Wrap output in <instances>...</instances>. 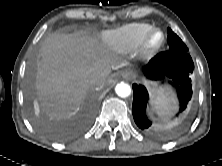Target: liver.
I'll return each instance as SVG.
<instances>
[{
    "mask_svg": "<svg viewBox=\"0 0 222 166\" xmlns=\"http://www.w3.org/2000/svg\"><path fill=\"white\" fill-rule=\"evenodd\" d=\"M124 64L95 37L51 34L42 43L37 64L36 89L42 110L56 120L74 116L88 91L100 88L90 79L100 78L103 87L112 69Z\"/></svg>",
    "mask_w": 222,
    "mask_h": 166,
    "instance_id": "obj_1",
    "label": "liver"
}]
</instances>
